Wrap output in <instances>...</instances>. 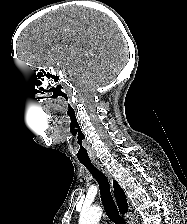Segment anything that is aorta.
Segmentation results:
<instances>
[{"instance_id": "1", "label": "aorta", "mask_w": 187, "mask_h": 224, "mask_svg": "<svg viewBox=\"0 0 187 224\" xmlns=\"http://www.w3.org/2000/svg\"><path fill=\"white\" fill-rule=\"evenodd\" d=\"M102 216L100 207L83 209L80 213L79 224H98Z\"/></svg>"}]
</instances>
